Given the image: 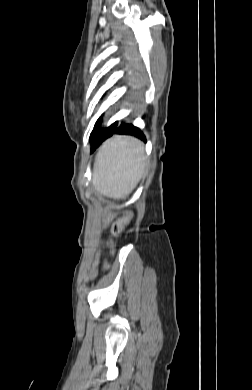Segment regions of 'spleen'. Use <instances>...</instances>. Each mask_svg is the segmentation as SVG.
<instances>
[{"label":"spleen","mask_w":252,"mask_h":390,"mask_svg":"<svg viewBox=\"0 0 252 390\" xmlns=\"http://www.w3.org/2000/svg\"><path fill=\"white\" fill-rule=\"evenodd\" d=\"M144 160L143 146L133 138L118 137L107 142L96 156L95 190L113 199L127 197L141 179Z\"/></svg>","instance_id":"spleen-1"}]
</instances>
